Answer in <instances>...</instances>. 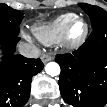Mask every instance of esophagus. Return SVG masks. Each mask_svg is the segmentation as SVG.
Returning <instances> with one entry per match:
<instances>
[{"label":"esophagus","mask_w":107,"mask_h":107,"mask_svg":"<svg viewBox=\"0 0 107 107\" xmlns=\"http://www.w3.org/2000/svg\"><path fill=\"white\" fill-rule=\"evenodd\" d=\"M53 59V57L51 55H48V54H43L41 56V60L43 63H47L49 61H51Z\"/></svg>","instance_id":"obj_1"}]
</instances>
